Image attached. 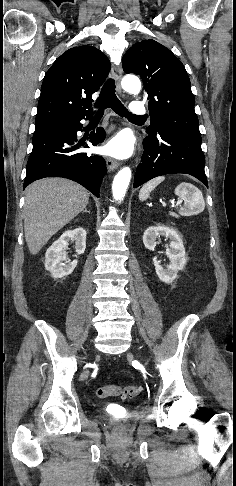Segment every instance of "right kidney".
<instances>
[{
	"label": "right kidney",
	"mask_w": 236,
	"mask_h": 486,
	"mask_svg": "<svg viewBox=\"0 0 236 486\" xmlns=\"http://www.w3.org/2000/svg\"><path fill=\"white\" fill-rule=\"evenodd\" d=\"M75 242L76 257L86 249V231L82 227L65 231L46 251L45 268L53 278H63L70 275L78 261L70 262L66 255L69 242Z\"/></svg>",
	"instance_id": "obj_1"
}]
</instances>
